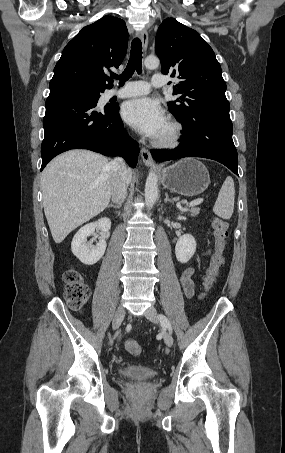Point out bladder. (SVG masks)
I'll list each match as a JSON object with an SVG mask.
<instances>
[{
  "instance_id": "bladder-1",
  "label": "bladder",
  "mask_w": 285,
  "mask_h": 453,
  "mask_svg": "<svg viewBox=\"0 0 285 453\" xmlns=\"http://www.w3.org/2000/svg\"><path fill=\"white\" fill-rule=\"evenodd\" d=\"M119 374L126 378L142 381L155 378L158 371L149 366L131 364L121 368Z\"/></svg>"
}]
</instances>
